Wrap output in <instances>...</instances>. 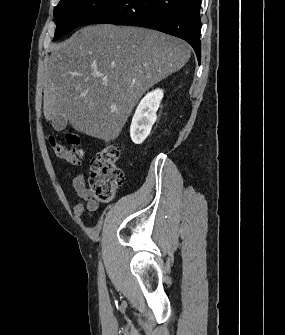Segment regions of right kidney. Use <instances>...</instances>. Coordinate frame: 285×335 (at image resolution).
I'll return each mask as SVG.
<instances>
[{"instance_id":"right-kidney-1","label":"right kidney","mask_w":285,"mask_h":335,"mask_svg":"<svg viewBox=\"0 0 285 335\" xmlns=\"http://www.w3.org/2000/svg\"><path fill=\"white\" fill-rule=\"evenodd\" d=\"M163 98V90H153L142 98L132 118L130 136L134 144H142L149 136L153 124L157 120V110Z\"/></svg>"}]
</instances>
